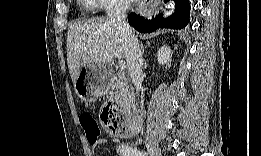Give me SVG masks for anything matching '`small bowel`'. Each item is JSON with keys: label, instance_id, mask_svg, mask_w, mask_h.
I'll return each instance as SVG.
<instances>
[{"label": "small bowel", "instance_id": "small-bowel-1", "mask_svg": "<svg viewBox=\"0 0 261 156\" xmlns=\"http://www.w3.org/2000/svg\"><path fill=\"white\" fill-rule=\"evenodd\" d=\"M106 143V139H104V138H100L98 141H97V143H96V145H104ZM120 154V153H119ZM121 155V154H120Z\"/></svg>", "mask_w": 261, "mask_h": 156}]
</instances>
